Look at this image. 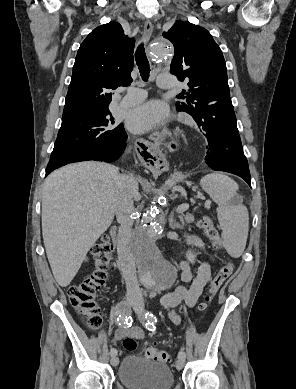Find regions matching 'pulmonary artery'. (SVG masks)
Wrapping results in <instances>:
<instances>
[{
	"label": "pulmonary artery",
	"mask_w": 296,
	"mask_h": 389,
	"mask_svg": "<svg viewBox=\"0 0 296 389\" xmlns=\"http://www.w3.org/2000/svg\"><path fill=\"white\" fill-rule=\"evenodd\" d=\"M176 83L174 78L170 75L161 74L158 77V86L163 89H171L175 87ZM146 98V92L140 88H129L127 94L121 101V106L130 107L141 103Z\"/></svg>",
	"instance_id": "obj_1"
}]
</instances>
